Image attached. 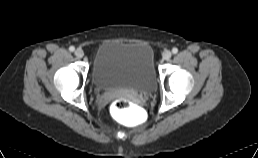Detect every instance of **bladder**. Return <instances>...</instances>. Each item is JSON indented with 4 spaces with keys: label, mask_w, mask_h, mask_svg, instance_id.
Masks as SVG:
<instances>
[{
    "label": "bladder",
    "mask_w": 258,
    "mask_h": 158,
    "mask_svg": "<svg viewBox=\"0 0 258 158\" xmlns=\"http://www.w3.org/2000/svg\"><path fill=\"white\" fill-rule=\"evenodd\" d=\"M92 81L101 90L152 92L156 85L152 47L146 43H102L94 55Z\"/></svg>",
    "instance_id": "bladder-1"
}]
</instances>
